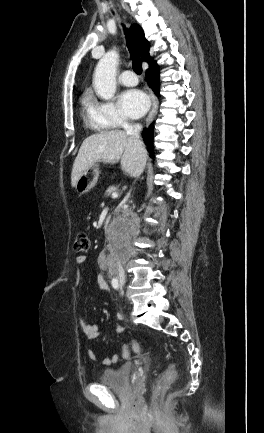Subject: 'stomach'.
Segmentation results:
<instances>
[{
	"instance_id": "obj_1",
	"label": "stomach",
	"mask_w": 264,
	"mask_h": 433,
	"mask_svg": "<svg viewBox=\"0 0 264 433\" xmlns=\"http://www.w3.org/2000/svg\"><path fill=\"white\" fill-rule=\"evenodd\" d=\"M100 171L97 164H93L79 177L75 188L78 193L84 194L93 189L98 181Z\"/></svg>"
}]
</instances>
